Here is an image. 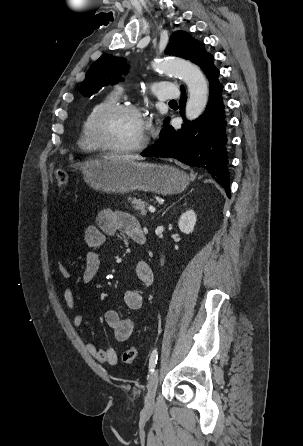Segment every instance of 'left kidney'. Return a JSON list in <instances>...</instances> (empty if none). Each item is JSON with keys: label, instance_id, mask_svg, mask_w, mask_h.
I'll list each match as a JSON object with an SVG mask.
<instances>
[{"label": "left kidney", "instance_id": "1", "mask_svg": "<svg viewBox=\"0 0 303 446\" xmlns=\"http://www.w3.org/2000/svg\"><path fill=\"white\" fill-rule=\"evenodd\" d=\"M197 216L193 210H188L183 213L178 221V226L181 232L190 234L194 230Z\"/></svg>", "mask_w": 303, "mask_h": 446}]
</instances>
